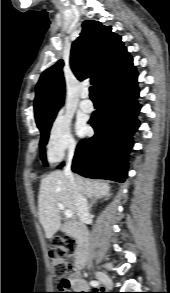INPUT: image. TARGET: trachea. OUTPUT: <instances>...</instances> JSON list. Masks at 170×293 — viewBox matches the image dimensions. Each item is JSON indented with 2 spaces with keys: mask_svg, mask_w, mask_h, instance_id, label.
Segmentation results:
<instances>
[{
  "mask_svg": "<svg viewBox=\"0 0 170 293\" xmlns=\"http://www.w3.org/2000/svg\"><path fill=\"white\" fill-rule=\"evenodd\" d=\"M89 91H90V97H91V98H96V93H95V89H94L93 86H91V87L89 88Z\"/></svg>",
  "mask_w": 170,
  "mask_h": 293,
  "instance_id": "1",
  "label": "trachea"
}]
</instances>
